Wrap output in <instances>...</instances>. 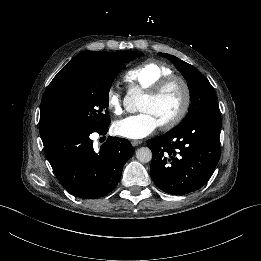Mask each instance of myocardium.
<instances>
[{
    "label": "myocardium",
    "instance_id": "myocardium-1",
    "mask_svg": "<svg viewBox=\"0 0 261 261\" xmlns=\"http://www.w3.org/2000/svg\"><path fill=\"white\" fill-rule=\"evenodd\" d=\"M175 84H180L183 93H184V99L181 108L179 111L168 121L160 124V127L164 130H169L174 128L176 125H178L183 118L188 113L190 104H191V89L189 86V83L186 79H184L181 76L177 75H171L168 77L163 78L158 83L154 85V87L146 94V97L149 99H157L159 98L167 89H169L171 86Z\"/></svg>",
    "mask_w": 261,
    "mask_h": 261
}]
</instances>
